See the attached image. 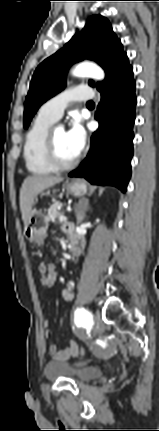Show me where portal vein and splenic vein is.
I'll return each instance as SVG.
<instances>
[{
  "label": "portal vein and splenic vein",
  "mask_w": 159,
  "mask_h": 431,
  "mask_svg": "<svg viewBox=\"0 0 159 431\" xmlns=\"http://www.w3.org/2000/svg\"><path fill=\"white\" fill-rule=\"evenodd\" d=\"M66 220H67V217L65 215H60L59 216V221L60 222H63V221H66Z\"/></svg>",
  "instance_id": "1"
}]
</instances>
